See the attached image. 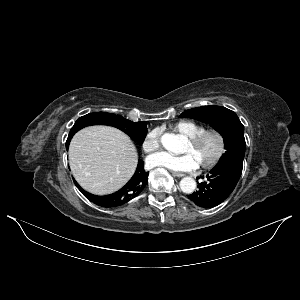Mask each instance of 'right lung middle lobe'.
I'll use <instances>...</instances> for the list:
<instances>
[{"instance_id": "1", "label": "right lung middle lobe", "mask_w": 300, "mask_h": 300, "mask_svg": "<svg viewBox=\"0 0 300 300\" xmlns=\"http://www.w3.org/2000/svg\"><path fill=\"white\" fill-rule=\"evenodd\" d=\"M90 125H109L116 127L126 134L130 136V138L134 141L142 143L146 136V122H131L123 118L122 116L105 113V112H97L90 113L85 116L80 117L71 128L68 141L71 140L72 136L79 131L80 129L90 126Z\"/></svg>"}]
</instances>
